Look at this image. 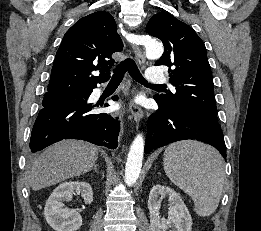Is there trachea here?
Returning a JSON list of instances; mask_svg holds the SVG:
<instances>
[{
	"instance_id": "1",
	"label": "trachea",
	"mask_w": 261,
	"mask_h": 231,
	"mask_svg": "<svg viewBox=\"0 0 261 231\" xmlns=\"http://www.w3.org/2000/svg\"><path fill=\"white\" fill-rule=\"evenodd\" d=\"M129 72L130 76L137 82L144 84V85H149V86H154V87H164V85H154V84H149L145 78L142 76L140 73L135 61L132 58H127L124 61H122L114 70V75L111 79V81H121L123 79V76L126 72Z\"/></svg>"
}]
</instances>
